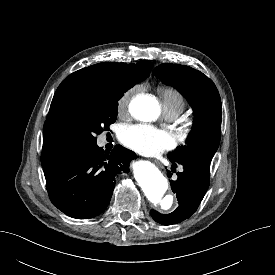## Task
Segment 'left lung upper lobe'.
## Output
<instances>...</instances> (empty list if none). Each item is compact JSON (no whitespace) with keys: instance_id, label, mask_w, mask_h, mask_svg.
I'll list each match as a JSON object with an SVG mask.
<instances>
[{"instance_id":"5c2ea615","label":"left lung upper lobe","mask_w":275,"mask_h":275,"mask_svg":"<svg viewBox=\"0 0 275 275\" xmlns=\"http://www.w3.org/2000/svg\"><path fill=\"white\" fill-rule=\"evenodd\" d=\"M154 73L187 99L195 116L193 130L185 145L170 153L168 158L175 162L189 159L211 162L221 137L222 107L215 84L202 72L179 64H161Z\"/></svg>"}]
</instances>
